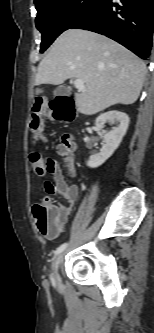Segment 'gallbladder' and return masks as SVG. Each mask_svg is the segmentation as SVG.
Listing matches in <instances>:
<instances>
[{
	"instance_id": "1",
	"label": "gallbladder",
	"mask_w": 154,
	"mask_h": 333,
	"mask_svg": "<svg viewBox=\"0 0 154 333\" xmlns=\"http://www.w3.org/2000/svg\"><path fill=\"white\" fill-rule=\"evenodd\" d=\"M70 94V90L68 87L66 86H58L55 90H54V95L59 96H67Z\"/></svg>"
}]
</instances>
